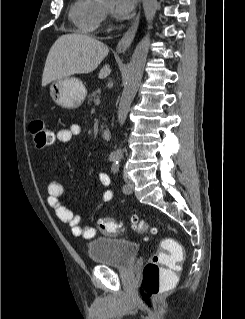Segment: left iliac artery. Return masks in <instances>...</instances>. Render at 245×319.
Here are the masks:
<instances>
[{
    "label": "left iliac artery",
    "instance_id": "1",
    "mask_svg": "<svg viewBox=\"0 0 245 319\" xmlns=\"http://www.w3.org/2000/svg\"><path fill=\"white\" fill-rule=\"evenodd\" d=\"M119 166H120L119 161L116 160V161L113 163L112 167H111V171H112L114 174L118 173V171H119ZM122 190H123V191H126V190H127V185H125V184L122 185Z\"/></svg>",
    "mask_w": 245,
    "mask_h": 319
}]
</instances>
